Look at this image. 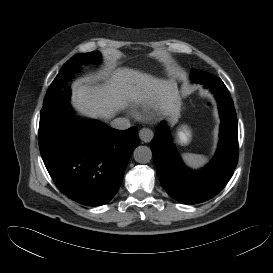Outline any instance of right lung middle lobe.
<instances>
[{
	"label": "right lung middle lobe",
	"mask_w": 273,
	"mask_h": 273,
	"mask_svg": "<svg viewBox=\"0 0 273 273\" xmlns=\"http://www.w3.org/2000/svg\"><path fill=\"white\" fill-rule=\"evenodd\" d=\"M100 60V53L98 51L90 53L77 54L71 59H69L60 73L56 76L49 89L47 90L46 96L44 98L43 104L49 102L56 94L66 89L67 81L76 71L80 70L83 63H88L92 61Z\"/></svg>",
	"instance_id": "obj_1"
}]
</instances>
